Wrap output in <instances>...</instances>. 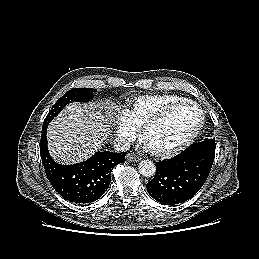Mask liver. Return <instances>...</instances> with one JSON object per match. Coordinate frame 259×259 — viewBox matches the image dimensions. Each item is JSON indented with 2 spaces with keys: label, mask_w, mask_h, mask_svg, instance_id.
Returning <instances> with one entry per match:
<instances>
[{
  "label": "liver",
  "mask_w": 259,
  "mask_h": 259,
  "mask_svg": "<svg viewBox=\"0 0 259 259\" xmlns=\"http://www.w3.org/2000/svg\"><path fill=\"white\" fill-rule=\"evenodd\" d=\"M102 112L103 106L99 110L79 103L65 107L47 129L53 158L62 164L77 163L100 148L109 132L110 119Z\"/></svg>",
  "instance_id": "obj_1"
}]
</instances>
